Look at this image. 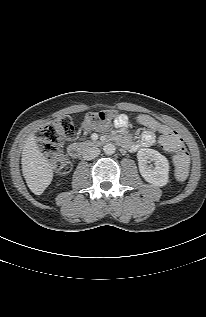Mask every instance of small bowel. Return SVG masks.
Returning <instances> with one entry per match:
<instances>
[{
	"instance_id": "c3829d8e",
	"label": "small bowel",
	"mask_w": 206,
	"mask_h": 317,
	"mask_svg": "<svg viewBox=\"0 0 206 317\" xmlns=\"http://www.w3.org/2000/svg\"><path fill=\"white\" fill-rule=\"evenodd\" d=\"M137 122L146 127L147 130L143 132L141 138L138 141H133L131 137H122L121 143L128 148L129 150L135 151L144 147H151L156 143V134L160 135L161 139L168 135L169 133H173V131L165 124L159 122L155 118L151 117L147 114H140L137 116ZM129 119L125 114H121L117 117L114 125L116 128L124 129L128 126Z\"/></svg>"
}]
</instances>
